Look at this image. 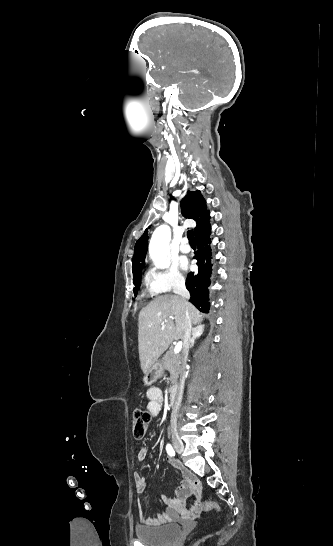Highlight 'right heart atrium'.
<instances>
[{
    "instance_id": "1",
    "label": "right heart atrium",
    "mask_w": 333,
    "mask_h": 546,
    "mask_svg": "<svg viewBox=\"0 0 333 546\" xmlns=\"http://www.w3.org/2000/svg\"><path fill=\"white\" fill-rule=\"evenodd\" d=\"M147 284L151 294L159 295L181 290L185 285V278L177 265L170 264L162 269H150Z\"/></svg>"
}]
</instances>
